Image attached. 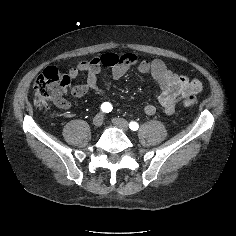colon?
<instances>
[{
    "mask_svg": "<svg viewBox=\"0 0 236 236\" xmlns=\"http://www.w3.org/2000/svg\"><path fill=\"white\" fill-rule=\"evenodd\" d=\"M70 83V77L59 71L55 67L46 68L35 80L34 104L37 107H44L50 101H58L62 98V93ZM197 98L194 95L184 97L183 104L186 107H192L197 104Z\"/></svg>",
    "mask_w": 236,
    "mask_h": 236,
    "instance_id": "colon-1",
    "label": "colon"
}]
</instances>
